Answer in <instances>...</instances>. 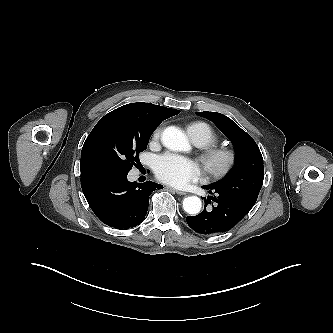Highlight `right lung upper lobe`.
Wrapping results in <instances>:
<instances>
[{
  "label": "right lung upper lobe",
  "mask_w": 333,
  "mask_h": 333,
  "mask_svg": "<svg viewBox=\"0 0 333 333\" xmlns=\"http://www.w3.org/2000/svg\"><path fill=\"white\" fill-rule=\"evenodd\" d=\"M179 112L180 111L176 109H170L151 103L139 102L124 105L111 111L108 114H121L133 120L160 125L163 120L170 118Z\"/></svg>",
  "instance_id": "cb5924a9"
}]
</instances>
